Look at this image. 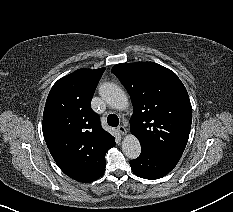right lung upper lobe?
Wrapping results in <instances>:
<instances>
[{"mask_svg": "<svg viewBox=\"0 0 233 212\" xmlns=\"http://www.w3.org/2000/svg\"><path fill=\"white\" fill-rule=\"evenodd\" d=\"M104 70L79 69L58 80L43 113V135L53 159L65 174L83 183L99 178L115 141L90 106Z\"/></svg>", "mask_w": 233, "mask_h": 212, "instance_id": "obj_1", "label": "right lung upper lobe"}]
</instances>
